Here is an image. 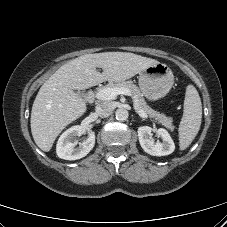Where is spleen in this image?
Wrapping results in <instances>:
<instances>
[{"instance_id": "1", "label": "spleen", "mask_w": 227, "mask_h": 227, "mask_svg": "<svg viewBox=\"0 0 227 227\" xmlns=\"http://www.w3.org/2000/svg\"><path fill=\"white\" fill-rule=\"evenodd\" d=\"M201 119L202 103L199 93L189 84L186 87L184 113L178 128L180 150H185L195 139L201 126Z\"/></svg>"}]
</instances>
